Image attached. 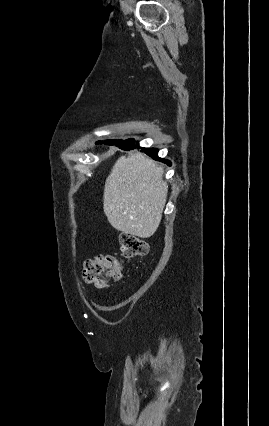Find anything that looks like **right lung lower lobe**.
Wrapping results in <instances>:
<instances>
[{"label":"right lung lower lobe","mask_w":269,"mask_h":426,"mask_svg":"<svg viewBox=\"0 0 269 426\" xmlns=\"http://www.w3.org/2000/svg\"><path fill=\"white\" fill-rule=\"evenodd\" d=\"M106 143L109 145L119 146L121 149H125V150L134 149L136 147L138 149L140 148L138 143L135 145V141L133 139H128L124 141H106ZM141 152L146 153L147 155L151 156L155 160H159L163 163L170 165V162L168 160L158 157V150L155 148H141Z\"/></svg>","instance_id":"1"}]
</instances>
